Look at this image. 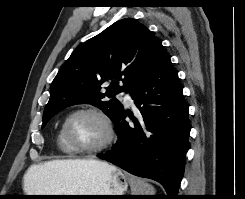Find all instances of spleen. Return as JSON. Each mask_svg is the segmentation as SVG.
<instances>
[{
  "label": "spleen",
  "mask_w": 245,
  "mask_h": 199,
  "mask_svg": "<svg viewBox=\"0 0 245 199\" xmlns=\"http://www.w3.org/2000/svg\"><path fill=\"white\" fill-rule=\"evenodd\" d=\"M131 187V195H154L155 189L145 180L133 175H127Z\"/></svg>",
  "instance_id": "3e777b00"
}]
</instances>
